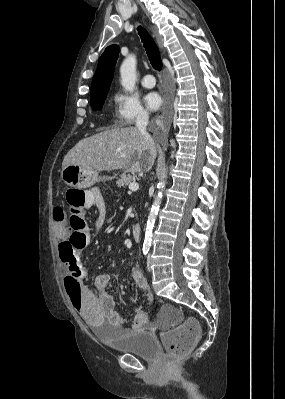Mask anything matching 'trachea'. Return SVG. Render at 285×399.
<instances>
[{"mask_svg": "<svg viewBox=\"0 0 285 399\" xmlns=\"http://www.w3.org/2000/svg\"><path fill=\"white\" fill-rule=\"evenodd\" d=\"M138 34L140 35L152 67L155 70L160 71L162 69V61L156 43L154 42L150 34L141 26L138 27Z\"/></svg>", "mask_w": 285, "mask_h": 399, "instance_id": "trachea-1", "label": "trachea"}]
</instances>
